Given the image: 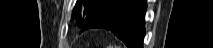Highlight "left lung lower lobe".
I'll return each mask as SVG.
<instances>
[{
    "instance_id": "obj_1",
    "label": "left lung lower lobe",
    "mask_w": 213,
    "mask_h": 48,
    "mask_svg": "<svg viewBox=\"0 0 213 48\" xmlns=\"http://www.w3.org/2000/svg\"><path fill=\"white\" fill-rule=\"evenodd\" d=\"M146 0H113L98 10L83 27L111 30L128 48H142Z\"/></svg>"
}]
</instances>
